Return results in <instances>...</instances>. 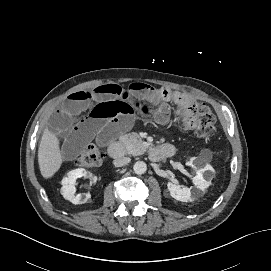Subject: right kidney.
<instances>
[{
    "mask_svg": "<svg viewBox=\"0 0 271 271\" xmlns=\"http://www.w3.org/2000/svg\"><path fill=\"white\" fill-rule=\"evenodd\" d=\"M80 177H92V173L86 171L83 168L74 169L68 172L67 176L64 177L61 181L62 188H61V194L66 200H69L73 204H83L88 201V199L91 197L90 193L86 194H77L76 193V187L75 183L76 180Z\"/></svg>",
    "mask_w": 271,
    "mask_h": 271,
    "instance_id": "right-kidney-1",
    "label": "right kidney"
}]
</instances>
